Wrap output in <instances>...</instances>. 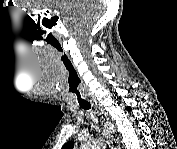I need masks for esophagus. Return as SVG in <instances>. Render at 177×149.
Returning <instances> with one entry per match:
<instances>
[{"label":"esophagus","mask_w":177,"mask_h":149,"mask_svg":"<svg viewBox=\"0 0 177 149\" xmlns=\"http://www.w3.org/2000/svg\"><path fill=\"white\" fill-rule=\"evenodd\" d=\"M95 110L97 111L98 116L100 117L101 122L104 125L106 133L109 138L111 149H120V144L118 140L115 138V125L113 122L109 120L108 114L105 112L103 107L97 102L93 103Z\"/></svg>","instance_id":"34e87169"}]
</instances>
